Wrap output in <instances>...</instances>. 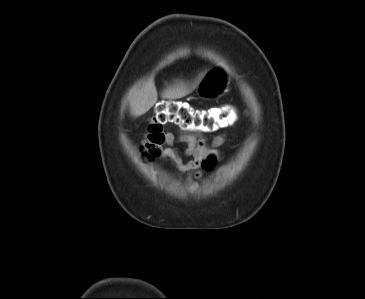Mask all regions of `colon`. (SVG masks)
<instances>
[{"mask_svg":"<svg viewBox=\"0 0 365 299\" xmlns=\"http://www.w3.org/2000/svg\"><path fill=\"white\" fill-rule=\"evenodd\" d=\"M230 122L227 108L198 109L182 101H161L146 127V139L142 146L145 157L153 159L159 156L165 143L164 126L168 124L191 131L213 132L228 126Z\"/></svg>","mask_w":365,"mask_h":299,"instance_id":"obj_1","label":"colon"}]
</instances>
